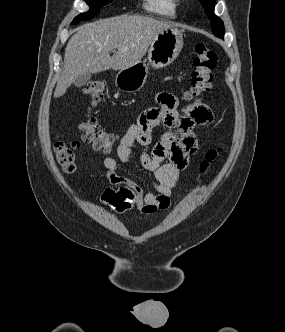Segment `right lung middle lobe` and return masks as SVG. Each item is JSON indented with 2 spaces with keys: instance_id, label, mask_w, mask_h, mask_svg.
Here are the masks:
<instances>
[{
  "instance_id": "1",
  "label": "right lung middle lobe",
  "mask_w": 285,
  "mask_h": 332,
  "mask_svg": "<svg viewBox=\"0 0 285 332\" xmlns=\"http://www.w3.org/2000/svg\"><path fill=\"white\" fill-rule=\"evenodd\" d=\"M90 6V10L86 13H82L74 18L72 24L78 23L82 20H88L93 18L100 12V8L112 2L113 0H85Z\"/></svg>"
}]
</instances>
